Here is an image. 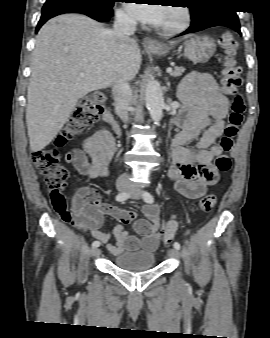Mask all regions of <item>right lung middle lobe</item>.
Listing matches in <instances>:
<instances>
[{
    "mask_svg": "<svg viewBox=\"0 0 270 338\" xmlns=\"http://www.w3.org/2000/svg\"><path fill=\"white\" fill-rule=\"evenodd\" d=\"M116 0H47L46 3H84L101 7H113Z\"/></svg>",
    "mask_w": 270,
    "mask_h": 338,
    "instance_id": "obj_1",
    "label": "right lung middle lobe"
}]
</instances>
